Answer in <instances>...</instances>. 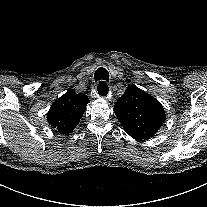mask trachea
Masks as SVG:
<instances>
[{
	"instance_id": "1",
	"label": "trachea",
	"mask_w": 207,
	"mask_h": 207,
	"mask_svg": "<svg viewBox=\"0 0 207 207\" xmlns=\"http://www.w3.org/2000/svg\"><path fill=\"white\" fill-rule=\"evenodd\" d=\"M95 81L106 80L109 81V73L105 68H98L94 74ZM98 93L105 96L108 93V85L104 81H100L97 87Z\"/></svg>"
}]
</instances>
